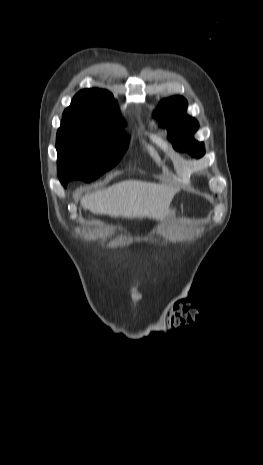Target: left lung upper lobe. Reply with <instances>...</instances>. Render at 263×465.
<instances>
[{
	"label": "left lung upper lobe",
	"instance_id": "left-lung-upper-lobe-1",
	"mask_svg": "<svg viewBox=\"0 0 263 465\" xmlns=\"http://www.w3.org/2000/svg\"><path fill=\"white\" fill-rule=\"evenodd\" d=\"M186 109L187 101L183 97L175 96L162 100L154 115L159 116L161 125L168 129V138L176 150L200 158L205 153L204 144L193 139L199 124L196 119L186 114Z\"/></svg>",
	"mask_w": 263,
	"mask_h": 465
}]
</instances>
